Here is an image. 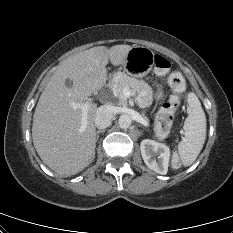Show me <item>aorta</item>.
<instances>
[{
	"label": "aorta",
	"instance_id": "aorta-1",
	"mask_svg": "<svg viewBox=\"0 0 233 233\" xmlns=\"http://www.w3.org/2000/svg\"><path fill=\"white\" fill-rule=\"evenodd\" d=\"M132 118L129 114H122L118 119L120 128L127 129L131 126Z\"/></svg>",
	"mask_w": 233,
	"mask_h": 233
}]
</instances>
